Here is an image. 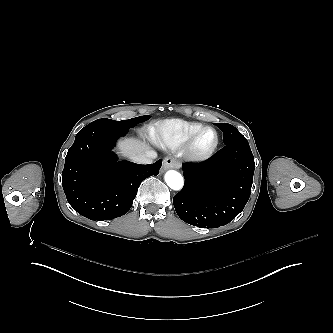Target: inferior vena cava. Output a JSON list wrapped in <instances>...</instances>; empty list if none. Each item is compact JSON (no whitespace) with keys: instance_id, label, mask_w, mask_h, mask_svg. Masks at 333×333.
Segmentation results:
<instances>
[{"instance_id":"1","label":"inferior vena cava","mask_w":333,"mask_h":333,"mask_svg":"<svg viewBox=\"0 0 333 333\" xmlns=\"http://www.w3.org/2000/svg\"><path fill=\"white\" fill-rule=\"evenodd\" d=\"M130 160L138 164H152L157 158V154L154 151L147 150L144 153L129 156Z\"/></svg>"}]
</instances>
